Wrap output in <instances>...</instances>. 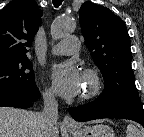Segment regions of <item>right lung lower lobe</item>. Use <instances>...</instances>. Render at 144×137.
<instances>
[{
    "instance_id": "98d812e1",
    "label": "right lung lower lobe",
    "mask_w": 144,
    "mask_h": 137,
    "mask_svg": "<svg viewBox=\"0 0 144 137\" xmlns=\"http://www.w3.org/2000/svg\"><path fill=\"white\" fill-rule=\"evenodd\" d=\"M40 92L36 97H27L15 92H0V107L29 108L33 101H37Z\"/></svg>"
}]
</instances>
